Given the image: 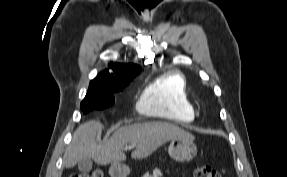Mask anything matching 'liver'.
Instances as JSON below:
<instances>
[{
	"label": "liver",
	"mask_w": 287,
	"mask_h": 177,
	"mask_svg": "<svg viewBox=\"0 0 287 177\" xmlns=\"http://www.w3.org/2000/svg\"><path fill=\"white\" fill-rule=\"evenodd\" d=\"M102 132L98 121H88L80 125L71 144L64 154V166L74 167L81 159L89 157L100 165L120 163L126 160L123 147L134 146L133 159H143L151 155L164 143L177 138L194 137L184 129L168 122H143L123 126L117 129L109 140L97 142Z\"/></svg>",
	"instance_id": "6515ba94"
}]
</instances>
